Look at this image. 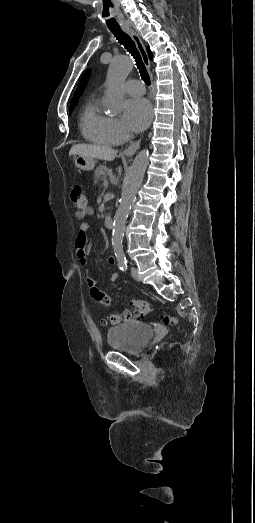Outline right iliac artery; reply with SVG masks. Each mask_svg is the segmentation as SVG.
<instances>
[{"mask_svg": "<svg viewBox=\"0 0 255 523\" xmlns=\"http://www.w3.org/2000/svg\"><path fill=\"white\" fill-rule=\"evenodd\" d=\"M118 266H119V268H120L122 271L127 270V267H128V265H127V261H126V260H125V261H120V262L118 263Z\"/></svg>", "mask_w": 255, "mask_h": 523, "instance_id": "82829eb1", "label": "right iliac artery"}]
</instances>
